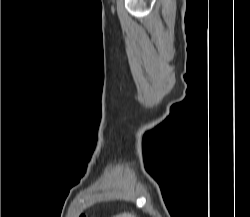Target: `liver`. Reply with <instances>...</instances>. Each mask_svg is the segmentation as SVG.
Returning a JSON list of instances; mask_svg holds the SVG:
<instances>
[{"instance_id":"1","label":"liver","mask_w":250,"mask_h":217,"mask_svg":"<svg viewBox=\"0 0 250 217\" xmlns=\"http://www.w3.org/2000/svg\"><path fill=\"white\" fill-rule=\"evenodd\" d=\"M115 217H136V216H135V214H133V213L124 212V213L119 214V215H117V216H115Z\"/></svg>"}]
</instances>
